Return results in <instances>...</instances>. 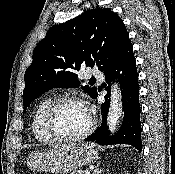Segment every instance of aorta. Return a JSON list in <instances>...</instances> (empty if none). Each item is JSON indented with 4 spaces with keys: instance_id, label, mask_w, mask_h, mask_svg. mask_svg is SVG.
I'll return each instance as SVG.
<instances>
[{
    "instance_id": "762f6f07",
    "label": "aorta",
    "mask_w": 175,
    "mask_h": 174,
    "mask_svg": "<svg viewBox=\"0 0 175 174\" xmlns=\"http://www.w3.org/2000/svg\"><path fill=\"white\" fill-rule=\"evenodd\" d=\"M110 100V108L108 112V127L109 131L113 133L116 130V127L122 115L121 92L118 84L116 83L111 89Z\"/></svg>"
}]
</instances>
